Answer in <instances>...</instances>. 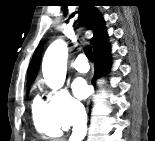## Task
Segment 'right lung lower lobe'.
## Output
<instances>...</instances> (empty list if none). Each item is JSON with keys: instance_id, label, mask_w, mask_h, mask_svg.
Returning <instances> with one entry per match:
<instances>
[{"instance_id": "right-lung-lower-lobe-1", "label": "right lung lower lobe", "mask_w": 155, "mask_h": 141, "mask_svg": "<svg viewBox=\"0 0 155 141\" xmlns=\"http://www.w3.org/2000/svg\"><path fill=\"white\" fill-rule=\"evenodd\" d=\"M92 46L95 56V75L92 84H95L94 81L110 69V46L107 33H103Z\"/></svg>"}]
</instances>
